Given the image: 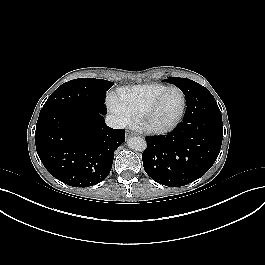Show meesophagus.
I'll return each mask as SVG.
<instances>
[{
	"mask_svg": "<svg viewBox=\"0 0 265 265\" xmlns=\"http://www.w3.org/2000/svg\"><path fill=\"white\" fill-rule=\"evenodd\" d=\"M129 135H135V133L131 132V133H129Z\"/></svg>",
	"mask_w": 265,
	"mask_h": 265,
	"instance_id": "34e87169",
	"label": "esophagus"
}]
</instances>
